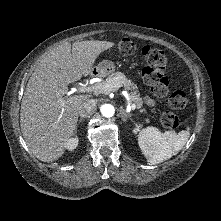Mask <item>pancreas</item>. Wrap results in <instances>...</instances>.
Here are the masks:
<instances>
[{"mask_svg":"<svg viewBox=\"0 0 221 221\" xmlns=\"http://www.w3.org/2000/svg\"><path fill=\"white\" fill-rule=\"evenodd\" d=\"M114 83H116L120 87L124 86L126 90H129L131 103L135 104L136 108L139 109L141 113L146 112V109L143 107V99L140 97L137 86L131 80L127 79L123 73L115 72L107 77L104 82L97 83V85L105 86L107 84Z\"/></svg>","mask_w":221,"mask_h":221,"instance_id":"1","label":"pancreas"}]
</instances>
